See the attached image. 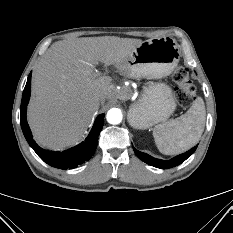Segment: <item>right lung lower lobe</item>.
<instances>
[{
  "mask_svg": "<svg viewBox=\"0 0 233 233\" xmlns=\"http://www.w3.org/2000/svg\"><path fill=\"white\" fill-rule=\"evenodd\" d=\"M31 92V73L28 76L26 86L23 91L22 101H21V127L23 134L29 143V145L34 149L36 154L47 164L52 167L59 169H72L73 167L84 163L89 160L94 154L97 144L98 136L103 127L104 114L99 115L94 123V126L84 142L75 146L64 152H54L49 150H44L40 148L32 138V134L26 119V109L30 98Z\"/></svg>",
  "mask_w": 233,
  "mask_h": 233,
  "instance_id": "right-lung-lower-lobe-1",
  "label": "right lung lower lobe"
}]
</instances>
